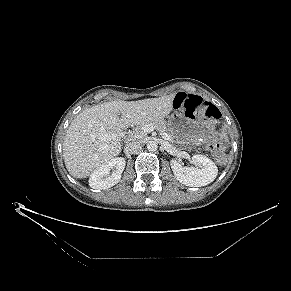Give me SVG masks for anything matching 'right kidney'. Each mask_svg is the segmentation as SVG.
Wrapping results in <instances>:
<instances>
[{
    "label": "right kidney",
    "mask_w": 291,
    "mask_h": 291,
    "mask_svg": "<svg viewBox=\"0 0 291 291\" xmlns=\"http://www.w3.org/2000/svg\"><path fill=\"white\" fill-rule=\"evenodd\" d=\"M125 165L126 162L122 157L113 158L105 162L92 172L89 185L93 189L100 190L116 185L121 179ZM111 170H113L112 173L110 172Z\"/></svg>",
    "instance_id": "1"
}]
</instances>
